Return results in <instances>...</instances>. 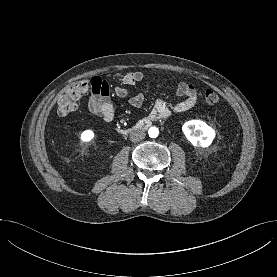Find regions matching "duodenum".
Instances as JSON below:
<instances>
[{"instance_id": "duodenum-1", "label": "duodenum", "mask_w": 277, "mask_h": 277, "mask_svg": "<svg viewBox=\"0 0 277 277\" xmlns=\"http://www.w3.org/2000/svg\"><path fill=\"white\" fill-rule=\"evenodd\" d=\"M151 126V119L140 120L133 128L136 130H146Z\"/></svg>"}]
</instances>
